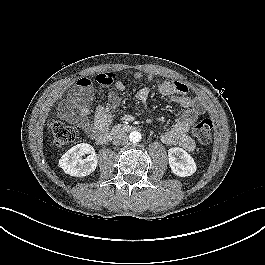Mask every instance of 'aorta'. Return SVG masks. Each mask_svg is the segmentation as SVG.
<instances>
[{
  "label": "aorta",
  "instance_id": "1",
  "mask_svg": "<svg viewBox=\"0 0 265 265\" xmlns=\"http://www.w3.org/2000/svg\"><path fill=\"white\" fill-rule=\"evenodd\" d=\"M129 140L132 143H138V142H140V140H141V134H140V132H138V131L131 132L130 135H129Z\"/></svg>",
  "mask_w": 265,
  "mask_h": 265
}]
</instances>
